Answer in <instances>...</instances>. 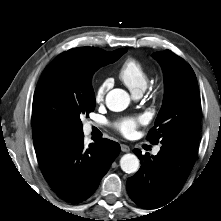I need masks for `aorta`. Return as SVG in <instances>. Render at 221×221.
Returning a JSON list of instances; mask_svg holds the SVG:
<instances>
[{
    "label": "aorta",
    "instance_id": "aorta-1",
    "mask_svg": "<svg viewBox=\"0 0 221 221\" xmlns=\"http://www.w3.org/2000/svg\"><path fill=\"white\" fill-rule=\"evenodd\" d=\"M130 103L129 94L123 89H113L106 96V105L111 111L125 110ZM140 166L139 159L134 154H125L120 159V167L125 173L137 172Z\"/></svg>",
    "mask_w": 221,
    "mask_h": 221
}]
</instances>
